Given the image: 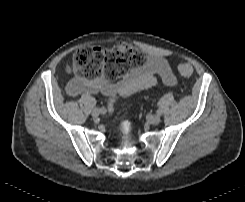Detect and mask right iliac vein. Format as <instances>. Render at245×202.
Instances as JSON below:
<instances>
[{"instance_id":"63e3f726","label":"right iliac vein","mask_w":245,"mask_h":202,"mask_svg":"<svg viewBox=\"0 0 245 202\" xmlns=\"http://www.w3.org/2000/svg\"><path fill=\"white\" fill-rule=\"evenodd\" d=\"M93 117H98L100 114H103V110L99 108H94L91 112Z\"/></svg>"}]
</instances>
